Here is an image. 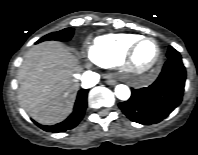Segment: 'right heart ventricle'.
Returning <instances> with one entry per match:
<instances>
[{"instance_id": "e07e8e85", "label": "right heart ventricle", "mask_w": 198, "mask_h": 155, "mask_svg": "<svg viewBox=\"0 0 198 155\" xmlns=\"http://www.w3.org/2000/svg\"><path fill=\"white\" fill-rule=\"evenodd\" d=\"M142 36L130 33L106 34L96 37L88 54L97 64L112 67L122 62L130 46Z\"/></svg>"}]
</instances>
